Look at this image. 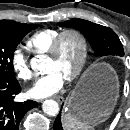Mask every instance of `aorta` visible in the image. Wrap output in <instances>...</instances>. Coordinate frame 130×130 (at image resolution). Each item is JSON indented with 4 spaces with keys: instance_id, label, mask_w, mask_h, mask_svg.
<instances>
[{
    "instance_id": "1",
    "label": "aorta",
    "mask_w": 130,
    "mask_h": 130,
    "mask_svg": "<svg viewBox=\"0 0 130 130\" xmlns=\"http://www.w3.org/2000/svg\"><path fill=\"white\" fill-rule=\"evenodd\" d=\"M31 68L35 72H44L42 59L34 57L31 59ZM43 112L49 116H56L59 113V105L54 100H45L42 104Z\"/></svg>"
}]
</instances>
